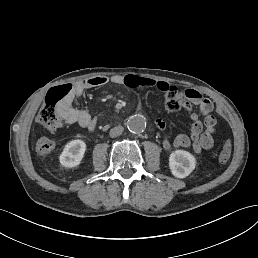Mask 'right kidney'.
Instances as JSON below:
<instances>
[{"label": "right kidney", "instance_id": "right-kidney-1", "mask_svg": "<svg viewBox=\"0 0 258 258\" xmlns=\"http://www.w3.org/2000/svg\"><path fill=\"white\" fill-rule=\"evenodd\" d=\"M86 150L82 140H73L66 144L59 160L64 167L72 168L80 164Z\"/></svg>", "mask_w": 258, "mask_h": 258}]
</instances>
